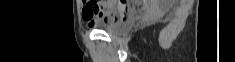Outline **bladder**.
Segmentation results:
<instances>
[{
  "instance_id": "bladder-1",
  "label": "bladder",
  "mask_w": 235,
  "mask_h": 62,
  "mask_svg": "<svg viewBox=\"0 0 235 62\" xmlns=\"http://www.w3.org/2000/svg\"><path fill=\"white\" fill-rule=\"evenodd\" d=\"M136 21L137 15L131 14L124 20L105 24L101 27V29L110 35H119L128 32L134 26Z\"/></svg>"
}]
</instances>
